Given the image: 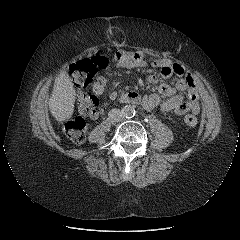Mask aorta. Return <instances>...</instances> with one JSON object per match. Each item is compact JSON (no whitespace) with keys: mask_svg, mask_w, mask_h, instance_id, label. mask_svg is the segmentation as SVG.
<instances>
[{"mask_svg":"<svg viewBox=\"0 0 240 240\" xmlns=\"http://www.w3.org/2000/svg\"><path fill=\"white\" fill-rule=\"evenodd\" d=\"M124 117L131 118L135 115V108L132 105H126L122 108Z\"/></svg>","mask_w":240,"mask_h":240,"instance_id":"aorta-1","label":"aorta"}]
</instances>
